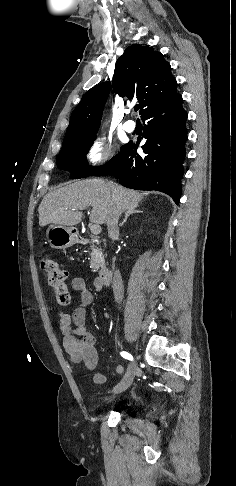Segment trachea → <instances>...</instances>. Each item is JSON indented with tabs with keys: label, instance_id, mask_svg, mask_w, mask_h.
I'll return each instance as SVG.
<instances>
[{
	"label": "trachea",
	"instance_id": "1",
	"mask_svg": "<svg viewBox=\"0 0 236 486\" xmlns=\"http://www.w3.org/2000/svg\"><path fill=\"white\" fill-rule=\"evenodd\" d=\"M139 108H140V107H139V105H136V106L134 107L135 111H138V110H139Z\"/></svg>",
	"mask_w": 236,
	"mask_h": 486
}]
</instances>
